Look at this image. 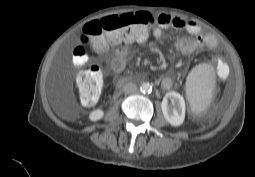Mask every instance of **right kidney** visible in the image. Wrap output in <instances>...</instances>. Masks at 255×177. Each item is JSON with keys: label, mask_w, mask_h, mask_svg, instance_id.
<instances>
[{"label": "right kidney", "mask_w": 255, "mask_h": 177, "mask_svg": "<svg viewBox=\"0 0 255 177\" xmlns=\"http://www.w3.org/2000/svg\"><path fill=\"white\" fill-rule=\"evenodd\" d=\"M104 116V112L101 109H96L93 110L90 114H89V119L91 121H98L100 120L102 117Z\"/></svg>", "instance_id": "ca27d5eb"}]
</instances>
